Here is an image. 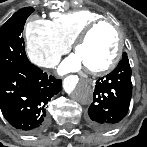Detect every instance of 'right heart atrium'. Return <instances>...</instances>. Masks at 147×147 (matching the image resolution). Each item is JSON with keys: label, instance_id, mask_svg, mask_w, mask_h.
<instances>
[{"label": "right heart atrium", "instance_id": "obj_1", "mask_svg": "<svg viewBox=\"0 0 147 147\" xmlns=\"http://www.w3.org/2000/svg\"><path fill=\"white\" fill-rule=\"evenodd\" d=\"M25 37L29 59L42 68L54 66L68 50V45L57 39L48 20L33 17L26 26Z\"/></svg>", "mask_w": 147, "mask_h": 147}]
</instances>
